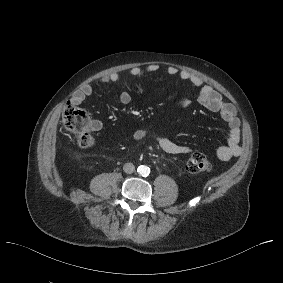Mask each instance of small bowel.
I'll use <instances>...</instances> for the list:
<instances>
[{
	"label": "small bowel",
	"instance_id": "c3829d8e",
	"mask_svg": "<svg viewBox=\"0 0 283 283\" xmlns=\"http://www.w3.org/2000/svg\"><path fill=\"white\" fill-rule=\"evenodd\" d=\"M158 65L150 64L146 67H135L129 72L132 77H142L143 75L158 70ZM167 74L169 76H178L182 81L188 82L199 89V95L197 97V102L205 107L206 109L217 112L220 114L222 119L226 122L229 128V137L227 143L217 148L216 156L222 161H228L233 157L239 156L242 153V147L240 145L241 130H240V120L237 116L236 107L226 101L221 93L216 91L213 87L205 85L202 79L186 70H179L176 67H169L167 69ZM120 80V75L118 73H111L109 75L103 76L95 82L85 84L80 90L74 93L71 98V102L74 105L81 104L87 97L91 96L94 90V86L98 83L106 84H116ZM119 100L122 104L127 105L132 101L131 93L124 91L120 94ZM185 106L190 105V101L184 102ZM90 129L92 131H98L101 129V124L97 120H93L90 123ZM146 136V131L139 129L136 130L132 139L134 141H140ZM157 143L159 147L166 153L169 154H189L192 149L188 146L178 144L166 136L158 135Z\"/></svg>",
	"mask_w": 283,
	"mask_h": 283
}]
</instances>
